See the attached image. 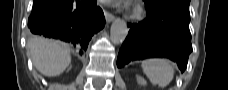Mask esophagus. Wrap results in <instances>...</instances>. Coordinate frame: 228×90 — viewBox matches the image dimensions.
Masks as SVG:
<instances>
[{
  "instance_id": "34e87169",
  "label": "esophagus",
  "mask_w": 228,
  "mask_h": 90,
  "mask_svg": "<svg viewBox=\"0 0 228 90\" xmlns=\"http://www.w3.org/2000/svg\"><path fill=\"white\" fill-rule=\"evenodd\" d=\"M104 16H105V19H106L107 23H110V22H112L115 19V16L112 13H110V12H108L106 10H104Z\"/></svg>"
}]
</instances>
